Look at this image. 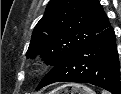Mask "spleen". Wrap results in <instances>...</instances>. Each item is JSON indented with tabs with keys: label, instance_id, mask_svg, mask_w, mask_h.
<instances>
[{
	"label": "spleen",
	"instance_id": "obj_1",
	"mask_svg": "<svg viewBox=\"0 0 121 94\" xmlns=\"http://www.w3.org/2000/svg\"><path fill=\"white\" fill-rule=\"evenodd\" d=\"M102 94H107V93L105 91H103Z\"/></svg>",
	"mask_w": 121,
	"mask_h": 94
}]
</instances>
